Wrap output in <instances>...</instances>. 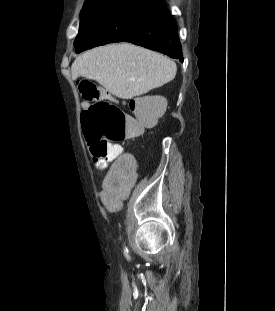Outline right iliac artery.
<instances>
[{
    "label": "right iliac artery",
    "instance_id": "obj_1",
    "mask_svg": "<svg viewBox=\"0 0 275 311\" xmlns=\"http://www.w3.org/2000/svg\"><path fill=\"white\" fill-rule=\"evenodd\" d=\"M124 254H125V256H126L127 258H129L128 249H127V248L124 249Z\"/></svg>",
    "mask_w": 275,
    "mask_h": 311
}]
</instances>
